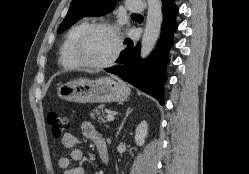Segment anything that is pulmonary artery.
Segmentation results:
<instances>
[{
	"instance_id": "pulmonary-artery-1",
	"label": "pulmonary artery",
	"mask_w": 249,
	"mask_h": 174,
	"mask_svg": "<svg viewBox=\"0 0 249 174\" xmlns=\"http://www.w3.org/2000/svg\"><path fill=\"white\" fill-rule=\"evenodd\" d=\"M127 9L132 13H141L144 11V3L141 0H127Z\"/></svg>"
}]
</instances>
